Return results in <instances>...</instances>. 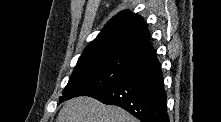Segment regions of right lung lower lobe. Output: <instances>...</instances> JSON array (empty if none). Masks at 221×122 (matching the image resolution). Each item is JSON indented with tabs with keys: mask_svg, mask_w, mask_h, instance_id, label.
Returning <instances> with one entry per match:
<instances>
[{
	"mask_svg": "<svg viewBox=\"0 0 221 122\" xmlns=\"http://www.w3.org/2000/svg\"><path fill=\"white\" fill-rule=\"evenodd\" d=\"M88 96L122 107L141 122H169L161 65L154 51L139 59L120 80Z\"/></svg>",
	"mask_w": 221,
	"mask_h": 122,
	"instance_id": "obj_1",
	"label": "right lung lower lobe"
}]
</instances>
